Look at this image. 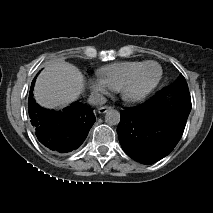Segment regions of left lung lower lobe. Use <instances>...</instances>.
<instances>
[{
    "label": "left lung lower lobe",
    "instance_id": "obj_1",
    "mask_svg": "<svg viewBox=\"0 0 213 213\" xmlns=\"http://www.w3.org/2000/svg\"><path fill=\"white\" fill-rule=\"evenodd\" d=\"M174 93L172 105L165 96ZM191 110L188 85L172 83L144 104L121 111L117 127L120 144L127 155L152 164L168 155L179 142Z\"/></svg>",
    "mask_w": 213,
    "mask_h": 213
}]
</instances>
